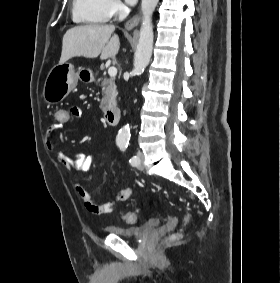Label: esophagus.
Wrapping results in <instances>:
<instances>
[{"label":"esophagus","instance_id":"esophagus-1","mask_svg":"<svg viewBox=\"0 0 280 283\" xmlns=\"http://www.w3.org/2000/svg\"><path fill=\"white\" fill-rule=\"evenodd\" d=\"M139 21H140V16H139V14H137L133 18H131L130 20H128L126 22L125 28L127 30H131V29L135 28L138 25Z\"/></svg>","mask_w":280,"mask_h":283}]
</instances>
